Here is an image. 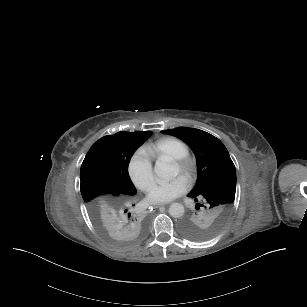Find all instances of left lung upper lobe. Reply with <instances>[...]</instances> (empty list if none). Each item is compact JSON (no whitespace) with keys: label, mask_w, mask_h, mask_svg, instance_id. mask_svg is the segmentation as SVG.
I'll list each match as a JSON object with an SVG mask.
<instances>
[{"label":"left lung upper lobe","mask_w":307,"mask_h":307,"mask_svg":"<svg viewBox=\"0 0 307 307\" xmlns=\"http://www.w3.org/2000/svg\"><path fill=\"white\" fill-rule=\"evenodd\" d=\"M162 133L182 139L192 148L197 159V182L188 194L197 204L180 222V231L192 240L209 239L222 229L234 202L235 166L223 143L205 131L178 127Z\"/></svg>","instance_id":"left-lung-upper-lobe-1"}]
</instances>
